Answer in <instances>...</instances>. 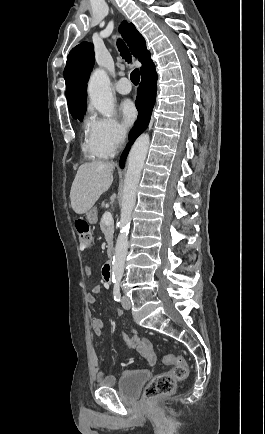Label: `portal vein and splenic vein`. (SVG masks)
I'll list each match as a JSON object with an SVG mask.
<instances>
[{
    "label": "portal vein and splenic vein",
    "mask_w": 265,
    "mask_h": 434,
    "mask_svg": "<svg viewBox=\"0 0 265 434\" xmlns=\"http://www.w3.org/2000/svg\"><path fill=\"white\" fill-rule=\"evenodd\" d=\"M103 220L102 222H105V224H112L113 222V218H112V214H110V212H105V214H103L102 216Z\"/></svg>",
    "instance_id": "1"
}]
</instances>
